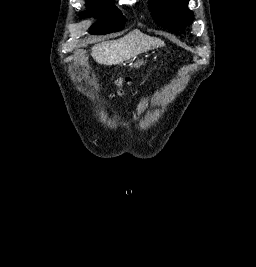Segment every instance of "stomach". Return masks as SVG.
I'll return each instance as SVG.
<instances>
[{"instance_id": "1", "label": "stomach", "mask_w": 256, "mask_h": 267, "mask_svg": "<svg viewBox=\"0 0 256 267\" xmlns=\"http://www.w3.org/2000/svg\"><path fill=\"white\" fill-rule=\"evenodd\" d=\"M138 67H149V62H138Z\"/></svg>"}]
</instances>
